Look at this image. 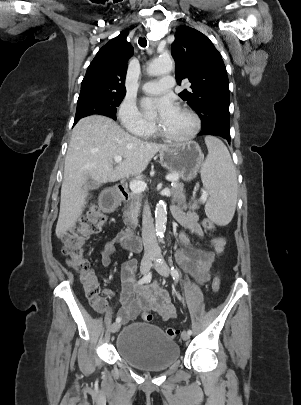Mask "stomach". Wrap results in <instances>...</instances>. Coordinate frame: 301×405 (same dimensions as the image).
<instances>
[{
  "mask_svg": "<svg viewBox=\"0 0 301 405\" xmlns=\"http://www.w3.org/2000/svg\"><path fill=\"white\" fill-rule=\"evenodd\" d=\"M161 165L171 173H179L184 181H191L202 166L203 154L195 141L170 145L159 151Z\"/></svg>",
  "mask_w": 301,
  "mask_h": 405,
  "instance_id": "0dacf381",
  "label": "stomach"
}]
</instances>
